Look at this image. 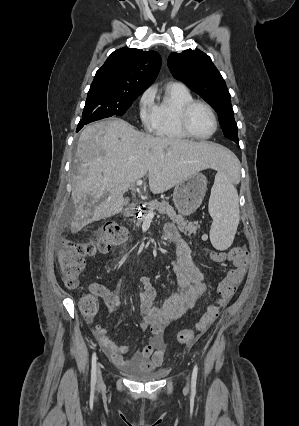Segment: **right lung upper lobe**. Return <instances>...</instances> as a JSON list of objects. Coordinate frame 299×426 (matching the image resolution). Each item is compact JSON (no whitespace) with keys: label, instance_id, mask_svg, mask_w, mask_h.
<instances>
[{"label":"right lung upper lobe","instance_id":"right-lung-upper-lobe-1","mask_svg":"<svg viewBox=\"0 0 299 426\" xmlns=\"http://www.w3.org/2000/svg\"><path fill=\"white\" fill-rule=\"evenodd\" d=\"M161 57L155 51L121 48L114 51L97 71L91 86L125 92H144L155 80Z\"/></svg>","mask_w":299,"mask_h":426}]
</instances>
